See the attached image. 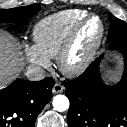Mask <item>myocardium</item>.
I'll return each mask as SVG.
<instances>
[{
	"label": "myocardium",
	"mask_w": 127,
	"mask_h": 127,
	"mask_svg": "<svg viewBox=\"0 0 127 127\" xmlns=\"http://www.w3.org/2000/svg\"><path fill=\"white\" fill-rule=\"evenodd\" d=\"M91 19H97L100 23V32L96 37L95 41L92 43L88 49L84 58L78 63H71L70 57L74 49L77 37L83 28V26ZM105 35V25L102 19L96 14H87L82 18L70 31L65 42L63 43L58 55H57V64L60 71L70 77L78 76L83 73L93 61L97 51L99 50L103 38Z\"/></svg>",
	"instance_id": "1"
}]
</instances>
